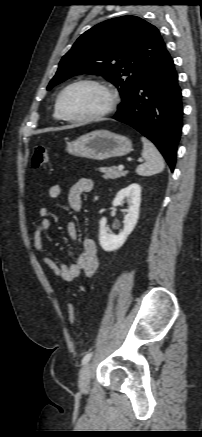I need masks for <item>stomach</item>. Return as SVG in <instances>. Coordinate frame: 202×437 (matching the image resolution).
Listing matches in <instances>:
<instances>
[{
    "mask_svg": "<svg viewBox=\"0 0 202 437\" xmlns=\"http://www.w3.org/2000/svg\"><path fill=\"white\" fill-rule=\"evenodd\" d=\"M132 150L129 138L108 130L92 131L68 142L66 146L71 155L99 161L125 156Z\"/></svg>",
    "mask_w": 202,
    "mask_h": 437,
    "instance_id": "1",
    "label": "stomach"
}]
</instances>
